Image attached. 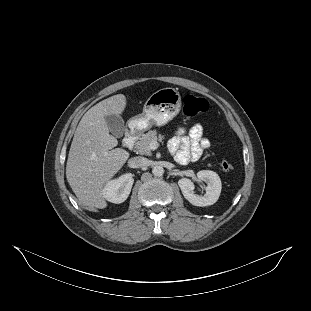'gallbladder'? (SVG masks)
<instances>
[{
  "label": "gallbladder",
  "instance_id": "bac80fb5",
  "mask_svg": "<svg viewBox=\"0 0 311 311\" xmlns=\"http://www.w3.org/2000/svg\"><path fill=\"white\" fill-rule=\"evenodd\" d=\"M109 131L117 138L123 136L125 131L124 120L120 115H107L105 116Z\"/></svg>",
  "mask_w": 311,
  "mask_h": 311
}]
</instances>
